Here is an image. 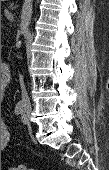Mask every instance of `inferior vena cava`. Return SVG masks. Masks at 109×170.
Returning <instances> with one entry per match:
<instances>
[{
  "label": "inferior vena cava",
  "mask_w": 109,
  "mask_h": 170,
  "mask_svg": "<svg viewBox=\"0 0 109 170\" xmlns=\"http://www.w3.org/2000/svg\"><path fill=\"white\" fill-rule=\"evenodd\" d=\"M19 77H20L22 103H23V105L25 106L26 109H30L31 105H30L29 97H28L27 92H26V88H25V85H24L23 78H22L21 75Z\"/></svg>",
  "instance_id": "inferior-vena-cava-1"
}]
</instances>
